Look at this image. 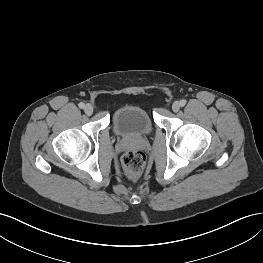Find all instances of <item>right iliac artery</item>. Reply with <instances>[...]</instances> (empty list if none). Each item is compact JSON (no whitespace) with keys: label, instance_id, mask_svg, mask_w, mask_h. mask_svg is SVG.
Returning <instances> with one entry per match:
<instances>
[{"label":"right iliac artery","instance_id":"obj_1","mask_svg":"<svg viewBox=\"0 0 263 263\" xmlns=\"http://www.w3.org/2000/svg\"><path fill=\"white\" fill-rule=\"evenodd\" d=\"M78 106H79V108L83 109V108L85 107V104H84L83 102H80V103L78 104Z\"/></svg>","mask_w":263,"mask_h":263}]
</instances>
